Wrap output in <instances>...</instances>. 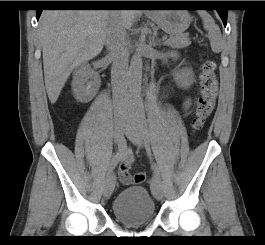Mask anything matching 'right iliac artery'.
Wrapping results in <instances>:
<instances>
[{
    "instance_id": "right-iliac-artery-1",
    "label": "right iliac artery",
    "mask_w": 265,
    "mask_h": 245,
    "mask_svg": "<svg viewBox=\"0 0 265 245\" xmlns=\"http://www.w3.org/2000/svg\"><path fill=\"white\" fill-rule=\"evenodd\" d=\"M115 143L117 144V151L108 163V173L111 172L113 167L117 165V163L120 161V159L122 158V152L124 150V144L122 142V138L120 140L115 141Z\"/></svg>"
}]
</instances>
